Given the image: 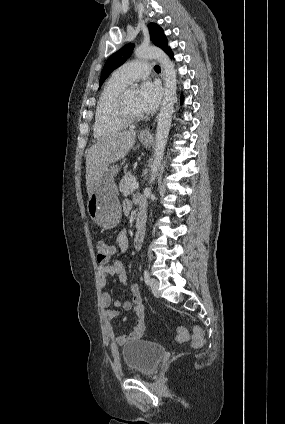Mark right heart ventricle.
<instances>
[{"label":"right heart ventricle","instance_id":"right-heart-ventricle-1","mask_svg":"<svg viewBox=\"0 0 285 424\" xmlns=\"http://www.w3.org/2000/svg\"><path fill=\"white\" fill-rule=\"evenodd\" d=\"M125 86L126 83L118 80L114 75L106 82L95 109L93 125L95 138H106L125 128V125L113 116L114 105Z\"/></svg>","mask_w":285,"mask_h":424}]
</instances>
